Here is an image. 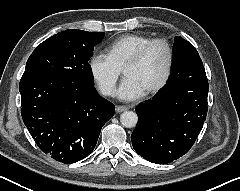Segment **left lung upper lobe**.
Listing matches in <instances>:
<instances>
[{"mask_svg":"<svg viewBox=\"0 0 240 191\" xmlns=\"http://www.w3.org/2000/svg\"><path fill=\"white\" fill-rule=\"evenodd\" d=\"M173 62L172 72L176 69V67L184 64L203 67L202 60L195 47L189 41L181 38L180 36H176L174 39Z\"/></svg>","mask_w":240,"mask_h":191,"instance_id":"1","label":"left lung upper lobe"}]
</instances>
